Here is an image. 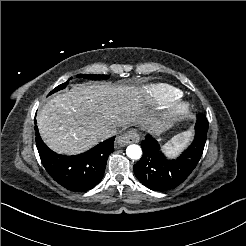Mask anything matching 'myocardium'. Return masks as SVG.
Listing matches in <instances>:
<instances>
[{
	"instance_id": "1",
	"label": "myocardium",
	"mask_w": 246,
	"mask_h": 246,
	"mask_svg": "<svg viewBox=\"0 0 246 246\" xmlns=\"http://www.w3.org/2000/svg\"><path fill=\"white\" fill-rule=\"evenodd\" d=\"M188 110V103L185 101H178L173 104V106L166 111H164L160 117L159 122L162 125H167L172 123L173 121L177 120V118L181 115L186 113Z\"/></svg>"
}]
</instances>
